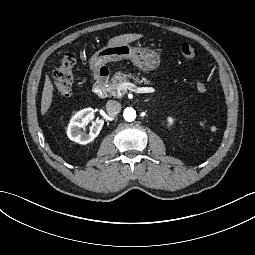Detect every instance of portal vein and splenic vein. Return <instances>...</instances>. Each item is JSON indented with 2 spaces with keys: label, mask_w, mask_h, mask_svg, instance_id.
Wrapping results in <instances>:
<instances>
[{
  "label": "portal vein and splenic vein",
  "mask_w": 255,
  "mask_h": 255,
  "mask_svg": "<svg viewBox=\"0 0 255 255\" xmlns=\"http://www.w3.org/2000/svg\"><path fill=\"white\" fill-rule=\"evenodd\" d=\"M127 89L130 91H133L135 93H153V92H155V89L153 87H137L135 84L129 83V82L121 83L117 86L118 91H123V90L126 91Z\"/></svg>",
  "instance_id": "portal-vein-and-splenic-vein-1"
}]
</instances>
